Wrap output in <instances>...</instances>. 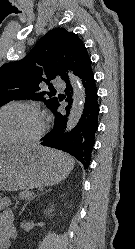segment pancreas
I'll return each instance as SVG.
<instances>
[{
	"label": "pancreas",
	"instance_id": "obj_1",
	"mask_svg": "<svg viewBox=\"0 0 135 249\" xmlns=\"http://www.w3.org/2000/svg\"><path fill=\"white\" fill-rule=\"evenodd\" d=\"M31 193L32 192L30 190L26 189V190L19 193V197H20V199H29L31 196Z\"/></svg>",
	"mask_w": 135,
	"mask_h": 249
}]
</instances>
